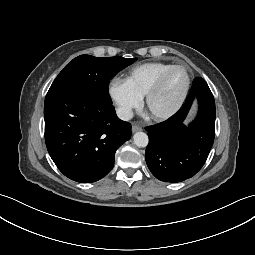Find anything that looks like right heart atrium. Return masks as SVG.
<instances>
[{"instance_id":"obj_1","label":"right heart atrium","mask_w":255,"mask_h":255,"mask_svg":"<svg viewBox=\"0 0 255 255\" xmlns=\"http://www.w3.org/2000/svg\"><path fill=\"white\" fill-rule=\"evenodd\" d=\"M108 92L117 107L119 116L123 119L130 118L133 110L138 108L142 102V97L131 88L126 80L112 79Z\"/></svg>"}]
</instances>
